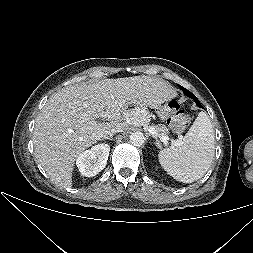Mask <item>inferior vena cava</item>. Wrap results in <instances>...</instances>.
I'll use <instances>...</instances> for the list:
<instances>
[{
    "instance_id": "inferior-vena-cava-1",
    "label": "inferior vena cava",
    "mask_w": 253,
    "mask_h": 253,
    "mask_svg": "<svg viewBox=\"0 0 253 253\" xmlns=\"http://www.w3.org/2000/svg\"><path fill=\"white\" fill-rule=\"evenodd\" d=\"M121 132L120 129H111L109 131H106L103 135V137H109L110 135H113L114 133Z\"/></svg>"
}]
</instances>
